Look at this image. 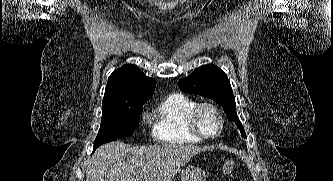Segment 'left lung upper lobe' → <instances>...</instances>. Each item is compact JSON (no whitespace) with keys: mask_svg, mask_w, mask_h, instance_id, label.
Masks as SVG:
<instances>
[{"mask_svg":"<svg viewBox=\"0 0 333 181\" xmlns=\"http://www.w3.org/2000/svg\"><path fill=\"white\" fill-rule=\"evenodd\" d=\"M183 92L208 97L224 107V111L231 121H234L246 138L244 128L236 114V103L230 82L224 71L215 65H203L195 69L191 75L178 81Z\"/></svg>","mask_w":333,"mask_h":181,"instance_id":"left-lung-upper-lobe-1","label":"left lung upper lobe"}]
</instances>
